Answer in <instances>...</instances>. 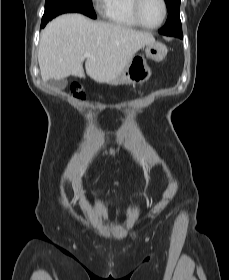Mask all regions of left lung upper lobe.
<instances>
[{
    "label": "left lung upper lobe",
    "mask_w": 229,
    "mask_h": 280,
    "mask_svg": "<svg viewBox=\"0 0 229 280\" xmlns=\"http://www.w3.org/2000/svg\"><path fill=\"white\" fill-rule=\"evenodd\" d=\"M168 9V18L165 25L159 30L163 35L176 36L182 34L179 16L180 0H165Z\"/></svg>",
    "instance_id": "obj_1"
}]
</instances>
